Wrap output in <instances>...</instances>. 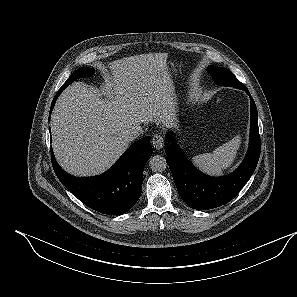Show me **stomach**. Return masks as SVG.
<instances>
[{
	"instance_id": "stomach-1",
	"label": "stomach",
	"mask_w": 297,
	"mask_h": 297,
	"mask_svg": "<svg viewBox=\"0 0 297 297\" xmlns=\"http://www.w3.org/2000/svg\"><path fill=\"white\" fill-rule=\"evenodd\" d=\"M167 67H168V70L169 71H174L176 72L177 71V68L180 67V65L176 62V61H169L167 63Z\"/></svg>"
}]
</instances>
